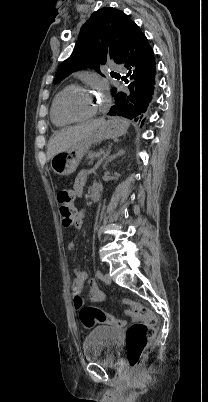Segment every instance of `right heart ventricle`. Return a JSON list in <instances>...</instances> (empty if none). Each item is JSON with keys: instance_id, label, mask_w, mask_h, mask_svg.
Instances as JSON below:
<instances>
[{"instance_id": "right-heart-ventricle-1", "label": "right heart ventricle", "mask_w": 208, "mask_h": 402, "mask_svg": "<svg viewBox=\"0 0 208 402\" xmlns=\"http://www.w3.org/2000/svg\"><path fill=\"white\" fill-rule=\"evenodd\" d=\"M61 93H62V91L59 92L58 94H56V96L54 97V99L52 101L51 109H50L51 122L57 128L68 127V126H71V125L79 122V121L69 120L62 115V113L59 109V97H60Z\"/></svg>"}]
</instances>
